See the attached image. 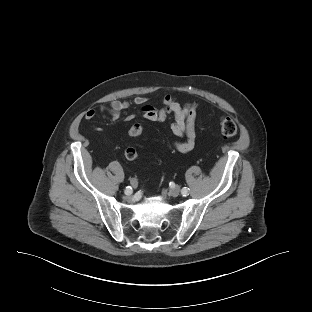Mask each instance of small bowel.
<instances>
[{
	"instance_id": "c3829d8e",
	"label": "small bowel",
	"mask_w": 312,
	"mask_h": 312,
	"mask_svg": "<svg viewBox=\"0 0 312 312\" xmlns=\"http://www.w3.org/2000/svg\"><path fill=\"white\" fill-rule=\"evenodd\" d=\"M160 108L150 105L148 98L137 96L131 100H113L100 108L101 112L106 114L108 119L116 121L120 118L123 111L132 107H139L137 114H129L125 121H133L137 115L143 119L152 122H163L167 117L172 116L173 121L170 126L171 133L176 137L185 136L184 141H175V148L181 153L190 152L195 146V119L199 107L198 102H189L181 105L174 96L166 94L162 98ZM96 111L88 109L84 113V119L92 120Z\"/></svg>"
}]
</instances>
